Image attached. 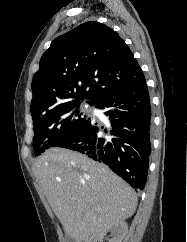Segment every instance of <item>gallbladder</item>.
<instances>
[{"instance_id":"gallbladder-1","label":"gallbladder","mask_w":187,"mask_h":242,"mask_svg":"<svg viewBox=\"0 0 187 242\" xmlns=\"http://www.w3.org/2000/svg\"><path fill=\"white\" fill-rule=\"evenodd\" d=\"M66 242H75L73 239H71L70 237H67V241Z\"/></svg>"}]
</instances>
